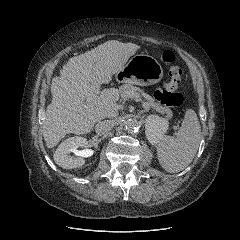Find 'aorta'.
Instances as JSON below:
<instances>
[{
	"label": "aorta",
	"mask_w": 240,
	"mask_h": 240,
	"mask_svg": "<svg viewBox=\"0 0 240 240\" xmlns=\"http://www.w3.org/2000/svg\"><path fill=\"white\" fill-rule=\"evenodd\" d=\"M125 128L129 133L137 132L139 129V122L135 118H129L125 121Z\"/></svg>",
	"instance_id": "obj_1"
}]
</instances>
